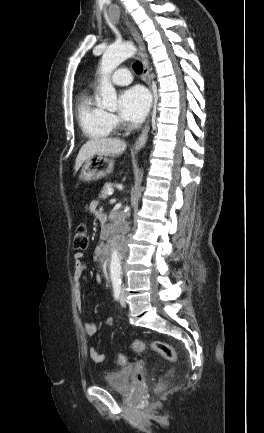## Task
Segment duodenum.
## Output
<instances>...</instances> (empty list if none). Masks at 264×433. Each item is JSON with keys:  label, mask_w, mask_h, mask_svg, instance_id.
<instances>
[{"label": "duodenum", "mask_w": 264, "mask_h": 433, "mask_svg": "<svg viewBox=\"0 0 264 433\" xmlns=\"http://www.w3.org/2000/svg\"><path fill=\"white\" fill-rule=\"evenodd\" d=\"M100 218L104 219V215L100 214ZM109 250H110V244H106L105 246H102L96 253V259L102 264H104L108 259ZM106 269H108V265H106Z\"/></svg>", "instance_id": "obj_1"}]
</instances>
